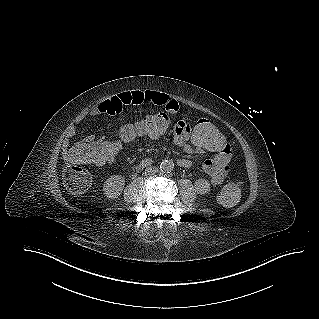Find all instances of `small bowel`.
I'll return each instance as SVG.
<instances>
[{
    "instance_id": "obj_1",
    "label": "small bowel",
    "mask_w": 319,
    "mask_h": 319,
    "mask_svg": "<svg viewBox=\"0 0 319 319\" xmlns=\"http://www.w3.org/2000/svg\"><path fill=\"white\" fill-rule=\"evenodd\" d=\"M149 104L160 108H164L169 112H176L180 107L179 99H171L169 96L157 91H131L119 93L114 97L108 98L88 113V117H97L107 115L110 119H120L125 114V107L129 105ZM207 120V119H205ZM171 130H174V143L181 147L185 152L194 155H202L205 151L201 150L192 141H189V136L192 133L191 121H171ZM79 130L73 127L69 130L67 138L64 140L63 148L65 152L70 149L69 138L76 135ZM86 142H95L93 137H88ZM220 151L215 155L204 161L202 169L209 177L212 185H220L230 171L229 158L233 151L231 145L227 141L222 140L219 143ZM109 164V163H108ZM151 164V160H143L139 165L142 167ZM179 166L188 168L191 166V161L182 158L178 161ZM101 166V165H100Z\"/></svg>"
}]
</instances>
